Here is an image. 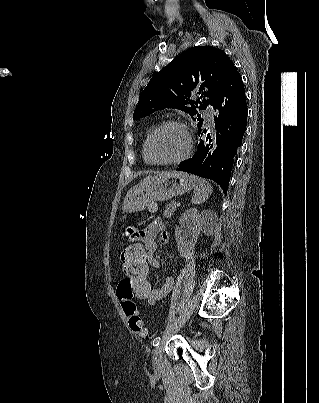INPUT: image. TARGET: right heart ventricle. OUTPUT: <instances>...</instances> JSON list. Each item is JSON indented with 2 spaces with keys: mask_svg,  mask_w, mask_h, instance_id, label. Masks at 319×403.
I'll return each instance as SVG.
<instances>
[{
  "mask_svg": "<svg viewBox=\"0 0 319 403\" xmlns=\"http://www.w3.org/2000/svg\"><path fill=\"white\" fill-rule=\"evenodd\" d=\"M150 131H151V130H149V132L147 133V137H148ZM147 137H146V139H147ZM146 139H145V141H144V143H143L142 154H143V159H144V161H145L147 164H151V162L147 159L146 152H145Z\"/></svg>",
  "mask_w": 319,
  "mask_h": 403,
  "instance_id": "1",
  "label": "right heart ventricle"
}]
</instances>
